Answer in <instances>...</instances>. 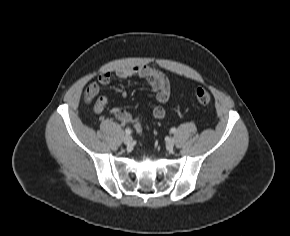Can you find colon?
I'll list each match as a JSON object with an SVG mask.
<instances>
[{"mask_svg":"<svg viewBox=\"0 0 290 236\" xmlns=\"http://www.w3.org/2000/svg\"><path fill=\"white\" fill-rule=\"evenodd\" d=\"M85 98H86L87 101H91L93 99L92 98V94L90 92H86L85 93ZM196 99H197V102L199 104H201V105H207L211 101V95H210V93L206 89H204V88H198L196 90ZM135 126H136V128L138 130H140L139 124H136Z\"/></svg>","mask_w":290,"mask_h":236,"instance_id":"1","label":"colon"}]
</instances>
